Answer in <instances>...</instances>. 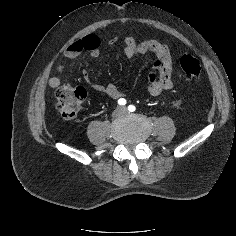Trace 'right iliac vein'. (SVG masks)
<instances>
[{
	"label": "right iliac vein",
	"instance_id": "obj_1",
	"mask_svg": "<svg viewBox=\"0 0 236 236\" xmlns=\"http://www.w3.org/2000/svg\"><path fill=\"white\" fill-rule=\"evenodd\" d=\"M122 112H123L122 109H117V110L114 111L113 115L117 117V116L121 115Z\"/></svg>",
	"mask_w": 236,
	"mask_h": 236
}]
</instances>
